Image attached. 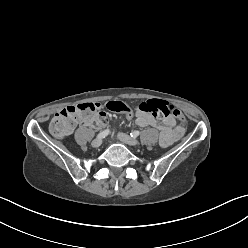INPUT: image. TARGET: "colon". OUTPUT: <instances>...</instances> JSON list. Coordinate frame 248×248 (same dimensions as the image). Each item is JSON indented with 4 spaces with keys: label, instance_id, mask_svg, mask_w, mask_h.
<instances>
[{
    "label": "colon",
    "instance_id": "1",
    "mask_svg": "<svg viewBox=\"0 0 248 248\" xmlns=\"http://www.w3.org/2000/svg\"><path fill=\"white\" fill-rule=\"evenodd\" d=\"M132 108L149 113L157 118L172 115L179 120L182 126L186 123L182 112L165 101L146 100ZM107 109L113 112H121V115L128 122L134 121V111L123 102L111 101L107 104ZM81 119L97 126L107 125L110 120L108 113L103 110V107L99 103H81L75 106H68L57 112L50 122V133L57 138L64 137Z\"/></svg>",
    "mask_w": 248,
    "mask_h": 248
}]
</instances>
